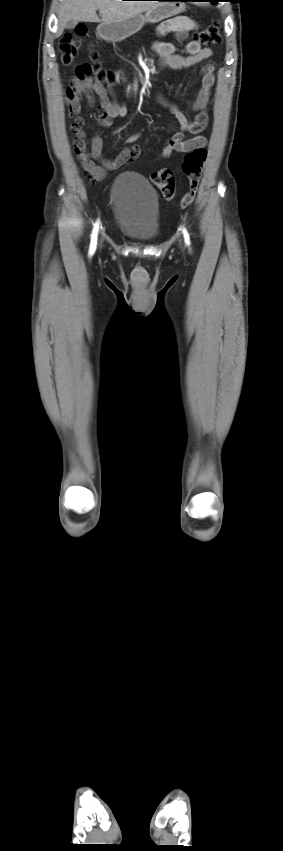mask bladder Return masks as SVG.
Here are the masks:
<instances>
[{
  "mask_svg": "<svg viewBox=\"0 0 283 851\" xmlns=\"http://www.w3.org/2000/svg\"><path fill=\"white\" fill-rule=\"evenodd\" d=\"M111 201L120 231L138 242H151L159 233V200L140 175L120 174L111 188Z\"/></svg>",
  "mask_w": 283,
  "mask_h": 851,
  "instance_id": "obj_1",
  "label": "bladder"
}]
</instances>
